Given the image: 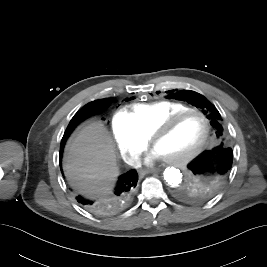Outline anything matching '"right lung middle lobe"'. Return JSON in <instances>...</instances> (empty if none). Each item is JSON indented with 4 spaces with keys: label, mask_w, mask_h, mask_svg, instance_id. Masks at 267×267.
Wrapping results in <instances>:
<instances>
[{
    "label": "right lung middle lobe",
    "mask_w": 267,
    "mask_h": 267,
    "mask_svg": "<svg viewBox=\"0 0 267 267\" xmlns=\"http://www.w3.org/2000/svg\"><path fill=\"white\" fill-rule=\"evenodd\" d=\"M97 103H108L109 99H103V100H96Z\"/></svg>",
    "instance_id": "obj_1"
}]
</instances>
